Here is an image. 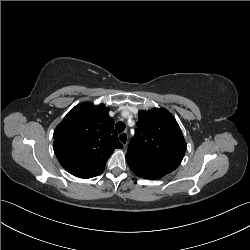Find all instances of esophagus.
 <instances>
[{
    "instance_id": "34e87169",
    "label": "esophagus",
    "mask_w": 250,
    "mask_h": 250,
    "mask_svg": "<svg viewBox=\"0 0 250 250\" xmlns=\"http://www.w3.org/2000/svg\"><path fill=\"white\" fill-rule=\"evenodd\" d=\"M119 141L123 144V146L127 145L128 135L126 132H122L118 135Z\"/></svg>"
}]
</instances>
